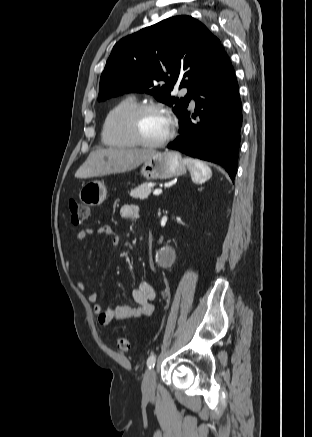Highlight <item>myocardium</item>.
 <instances>
[{
  "label": "myocardium",
  "instance_id": "f54148a6",
  "mask_svg": "<svg viewBox=\"0 0 312 437\" xmlns=\"http://www.w3.org/2000/svg\"><path fill=\"white\" fill-rule=\"evenodd\" d=\"M155 111L163 113L169 121V129L164 138L158 141H149L145 139L140 130V119L146 112ZM175 121L172 115L163 106L156 103H141L138 104L129 114L128 127L131 137L134 141L144 147H161L169 143L175 134Z\"/></svg>",
  "mask_w": 312,
  "mask_h": 437
}]
</instances>
